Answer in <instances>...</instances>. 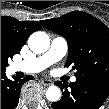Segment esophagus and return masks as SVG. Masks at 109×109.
Instances as JSON below:
<instances>
[{
    "instance_id": "1",
    "label": "esophagus",
    "mask_w": 109,
    "mask_h": 109,
    "mask_svg": "<svg viewBox=\"0 0 109 109\" xmlns=\"http://www.w3.org/2000/svg\"><path fill=\"white\" fill-rule=\"evenodd\" d=\"M40 82L44 85V86H50L52 83L49 80L46 79H41Z\"/></svg>"
}]
</instances>
